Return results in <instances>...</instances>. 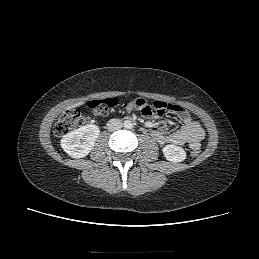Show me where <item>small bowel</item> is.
<instances>
[{
  "mask_svg": "<svg viewBox=\"0 0 259 259\" xmlns=\"http://www.w3.org/2000/svg\"><path fill=\"white\" fill-rule=\"evenodd\" d=\"M182 122V128L169 133L167 128L161 125L153 124L151 126V134L153 138L160 144L185 145L191 149H197L201 145V141L205 136L204 129L197 121H194L189 113L181 106L174 105L171 110Z\"/></svg>",
  "mask_w": 259,
  "mask_h": 259,
  "instance_id": "small-bowel-1",
  "label": "small bowel"
}]
</instances>
